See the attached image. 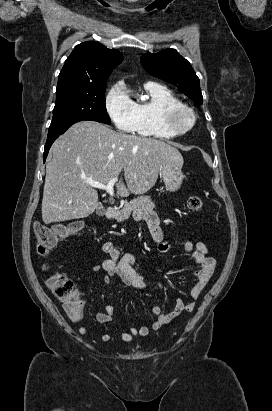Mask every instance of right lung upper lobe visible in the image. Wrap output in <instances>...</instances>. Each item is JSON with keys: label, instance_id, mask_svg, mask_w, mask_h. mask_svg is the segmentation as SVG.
Returning <instances> with one entry per match:
<instances>
[{"label": "right lung upper lobe", "instance_id": "obj_1", "mask_svg": "<svg viewBox=\"0 0 272 411\" xmlns=\"http://www.w3.org/2000/svg\"><path fill=\"white\" fill-rule=\"evenodd\" d=\"M122 60V54L115 49L110 50L96 42H83L65 61L56 92L105 84Z\"/></svg>", "mask_w": 272, "mask_h": 411}]
</instances>
